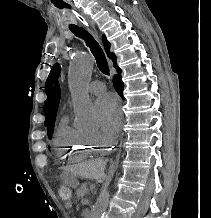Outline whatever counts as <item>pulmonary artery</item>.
I'll return each mask as SVG.
<instances>
[{
	"label": "pulmonary artery",
	"instance_id": "obj_1",
	"mask_svg": "<svg viewBox=\"0 0 211 218\" xmlns=\"http://www.w3.org/2000/svg\"><path fill=\"white\" fill-rule=\"evenodd\" d=\"M106 91V85L102 81H94L90 85V92L93 94H103Z\"/></svg>",
	"mask_w": 211,
	"mask_h": 218
}]
</instances>
